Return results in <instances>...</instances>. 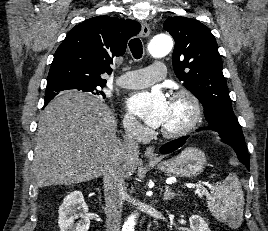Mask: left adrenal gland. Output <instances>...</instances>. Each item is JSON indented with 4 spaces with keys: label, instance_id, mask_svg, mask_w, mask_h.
Returning a JSON list of instances; mask_svg holds the SVG:
<instances>
[{
    "label": "left adrenal gland",
    "instance_id": "left-adrenal-gland-1",
    "mask_svg": "<svg viewBox=\"0 0 268 231\" xmlns=\"http://www.w3.org/2000/svg\"><path fill=\"white\" fill-rule=\"evenodd\" d=\"M177 195L178 194H176L175 192H172V190L169 186H165V192H164V196H163L164 201L171 200L172 198H174Z\"/></svg>",
    "mask_w": 268,
    "mask_h": 231
}]
</instances>
